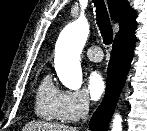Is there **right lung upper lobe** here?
Instances as JSON below:
<instances>
[{"mask_svg": "<svg viewBox=\"0 0 147 131\" xmlns=\"http://www.w3.org/2000/svg\"><path fill=\"white\" fill-rule=\"evenodd\" d=\"M111 17L119 22L120 30L115 39L134 32L136 29V14L127 0H108Z\"/></svg>", "mask_w": 147, "mask_h": 131, "instance_id": "obj_1", "label": "right lung upper lobe"}]
</instances>
